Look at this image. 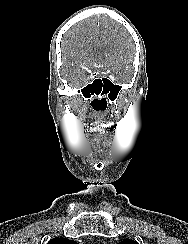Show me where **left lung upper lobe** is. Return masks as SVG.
I'll return each instance as SVG.
<instances>
[{
	"label": "left lung upper lobe",
	"instance_id": "5c2ea615",
	"mask_svg": "<svg viewBox=\"0 0 188 244\" xmlns=\"http://www.w3.org/2000/svg\"><path fill=\"white\" fill-rule=\"evenodd\" d=\"M118 244H139V243L134 240H131V239H126V240L121 241Z\"/></svg>",
	"mask_w": 188,
	"mask_h": 244
}]
</instances>
